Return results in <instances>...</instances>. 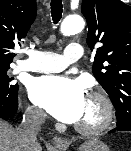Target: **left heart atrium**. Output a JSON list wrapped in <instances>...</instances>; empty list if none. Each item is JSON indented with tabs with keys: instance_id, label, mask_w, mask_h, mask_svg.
Returning a JSON list of instances; mask_svg holds the SVG:
<instances>
[{
	"instance_id": "obj_1",
	"label": "left heart atrium",
	"mask_w": 131,
	"mask_h": 151,
	"mask_svg": "<svg viewBox=\"0 0 131 151\" xmlns=\"http://www.w3.org/2000/svg\"><path fill=\"white\" fill-rule=\"evenodd\" d=\"M33 103L44 108L56 119L77 122L85 107L86 97L81 82L63 76H41L28 85Z\"/></svg>"
}]
</instances>
